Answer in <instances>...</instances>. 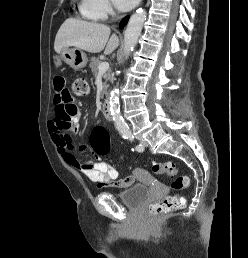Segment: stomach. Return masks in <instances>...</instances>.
Listing matches in <instances>:
<instances>
[{
  "instance_id": "0dacf381",
  "label": "stomach",
  "mask_w": 248,
  "mask_h": 258,
  "mask_svg": "<svg viewBox=\"0 0 248 258\" xmlns=\"http://www.w3.org/2000/svg\"><path fill=\"white\" fill-rule=\"evenodd\" d=\"M63 62L68 64L71 68L79 70L86 66L87 56L79 49L66 47L60 54L54 57V65L56 67H60Z\"/></svg>"
}]
</instances>
